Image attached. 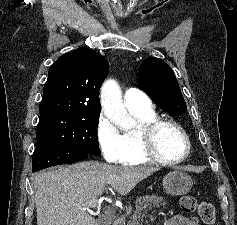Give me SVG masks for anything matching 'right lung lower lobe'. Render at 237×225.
<instances>
[{
  "instance_id": "1",
  "label": "right lung lower lobe",
  "mask_w": 237,
  "mask_h": 225,
  "mask_svg": "<svg viewBox=\"0 0 237 225\" xmlns=\"http://www.w3.org/2000/svg\"><path fill=\"white\" fill-rule=\"evenodd\" d=\"M88 155L66 147L40 144L36 146L33 153L32 171L36 172L50 166L78 162L86 159Z\"/></svg>"
}]
</instances>
